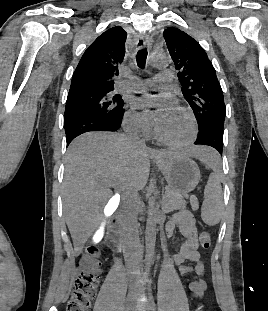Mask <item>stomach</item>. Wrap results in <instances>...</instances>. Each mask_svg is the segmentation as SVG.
Here are the masks:
<instances>
[{
	"mask_svg": "<svg viewBox=\"0 0 268 311\" xmlns=\"http://www.w3.org/2000/svg\"><path fill=\"white\" fill-rule=\"evenodd\" d=\"M157 165L162 171L168 188L180 194H187L195 189L200 181L198 165L189 157L177 154L170 159H159Z\"/></svg>",
	"mask_w": 268,
	"mask_h": 311,
	"instance_id": "0dacf381",
	"label": "stomach"
}]
</instances>
